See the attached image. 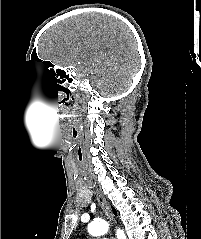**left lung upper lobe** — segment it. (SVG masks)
Here are the masks:
<instances>
[{
	"label": "left lung upper lobe",
	"instance_id": "left-lung-upper-lobe-1",
	"mask_svg": "<svg viewBox=\"0 0 201 239\" xmlns=\"http://www.w3.org/2000/svg\"><path fill=\"white\" fill-rule=\"evenodd\" d=\"M112 210H113V213H114L115 215H117V212H116L115 208L112 207Z\"/></svg>",
	"mask_w": 201,
	"mask_h": 239
}]
</instances>
